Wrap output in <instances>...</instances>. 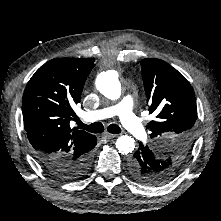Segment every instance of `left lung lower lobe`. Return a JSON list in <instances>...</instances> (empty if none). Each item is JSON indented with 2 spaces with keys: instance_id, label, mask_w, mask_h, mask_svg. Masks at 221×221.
<instances>
[{
  "instance_id": "1",
  "label": "left lung lower lobe",
  "mask_w": 221,
  "mask_h": 221,
  "mask_svg": "<svg viewBox=\"0 0 221 221\" xmlns=\"http://www.w3.org/2000/svg\"><path fill=\"white\" fill-rule=\"evenodd\" d=\"M139 144L138 150L129 161L131 176L145 185H160L155 179V174L161 169L159 159L148 146H144L142 143Z\"/></svg>"
}]
</instances>
